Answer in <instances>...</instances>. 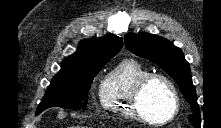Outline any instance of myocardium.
<instances>
[{"label": "myocardium", "instance_id": "myocardium-1", "mask_svg": "<svg viewBox=\"0 0 221 128\" xmlns=\"http://www.w3.org/2000/svg\"><path fill=\"white\" fill-rule=\"evenodd\" d=\"M153 80H161L164 82V84L167 86L171 103H172V110L171 113L162 121H155L152 118H150L142 109L141 107V95L143 90L147 87V85L153 81ZM131 106L136 114V116L153 125H166L173 121L175 117L177 116V113L179 111V97L177 94V90L175 88V85L173 82L164 74L161 73H149L146 74L144 77H142L135 85L134 90L131 95Z\"/></svg>", "mask_w": 221, "mask_h": 128}]
</instances>
